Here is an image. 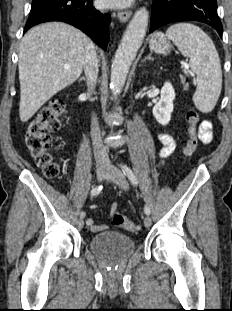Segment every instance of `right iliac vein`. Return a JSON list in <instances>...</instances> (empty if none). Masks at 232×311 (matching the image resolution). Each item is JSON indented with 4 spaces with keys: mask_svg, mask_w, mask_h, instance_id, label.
I'll list each match as a JSON object with an SVG mask.
<instances>
[{
    "mask_svg": "<svg viewBox=\"0 0 232 311\" xmlns=\"http://www.w3.org/2000/svg\"><path fill=\"white\" fill-rule=\"evenodd\" d=\"M109 169L107 167H100L97 169L96 175H97V180L101 182L107 175H108ZM78 227L82 228L84 226V220L80 218L77 221Z\"/></svg>",
    "mask_w": 232,
    "mask_h": 311,
    "instance_id": "1",
    "label": "right iliac vein"
}]
</instances>
